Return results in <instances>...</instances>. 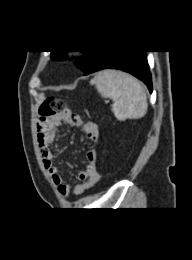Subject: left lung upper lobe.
<instances>
[{"instance_id": "obj_1", "label": "left lung upper lobe", "mask_w": 192, "mask_h": 260, "mask_svg": "<svg viewBox=\"0 0 192 260\" xmlns=\"http://www.w3.org/2000/svg\"><path fill=\"white\" fill-rule=\"evenodd\" d=\"M67 51H51V58L52 59H60V58H66V56H64V54ZM85 53L84 57H82L80 60H78L76 63L78 64L79 67H81L83 69V71L85 72L88 68V66L90 65L93 57L95 56V54L97 53V51H82Z\"/></svg>"}]
</instances>
